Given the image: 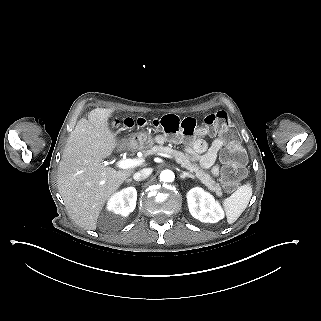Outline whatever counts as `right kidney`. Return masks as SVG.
<instances>
[{
	"mask_svg": "<svg viewBox=\"0 0 321 321\" xmlns=\"http://www.w3.org/2000/svg\"><path fill=\"white\" fill-rule=\"evenodd\" d=\"M137 191L134 187H127L115 193L107 203V210L115 214L128 216L136 207Z\"/></svg>",
	"mask_w": 321,
	"mask_h": 321,
	"instance_id": "1",
	"label": "right kidney"
}]
</instances>
